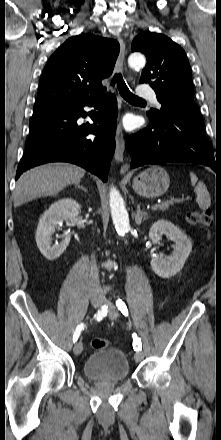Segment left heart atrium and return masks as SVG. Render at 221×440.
<instances>
[{
    "mask_svg": "<svg viewBox=\"0 0 221 440\" xmlns=\"http://www.w3.org/2000/svg\"><path fill=\"white\" fill-rule=\"evenodd\" d=\"M127 126H132V121L131 120H127Z\"/></svg>",
    "mask_w": 221,
    "mask_h": 440,
    "instance_id": "left-heart-atrium-1",
    "label": "left heart atrium"
}]
</instances>
